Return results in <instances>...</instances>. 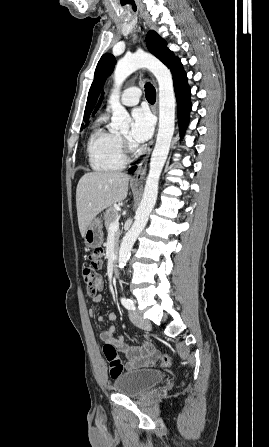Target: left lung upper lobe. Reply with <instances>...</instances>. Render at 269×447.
Listing matches in <instances>:
<instances>
[{
    "label": "left lung upper lobe",
    "instance_id": "5c2ea615",
    "mask_svg": "<svg viewBox=\"0 0 269 447\" xmlns=\"http://www.w3.org/2000/svg\"><path fill=\"white\" fill-rule=\"evenodd\" d=\"M146 42L148 49L165 65H167L168 68H170L176 61L177 58L175 57L174 53L167 48L166 42L162 38H160L159 35L154 31H150L147 34ZM115 63V57L111 54L103 55L98 62L94 74V81L88 94L87 104L84 112V121H87L106 78L114 69Z\"/></svg>",
    "mask_w": 269,
    "mask_h": 447
}]
</instances>
